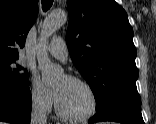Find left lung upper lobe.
Returning <instances> with one entry per match:
<instances>
[{
	"instance_id": "left-lung-upper-lobe-1",
	"label": "left lung upper lobe",
	"mask_w": 156,
	"mask_h": 124,
	"mask_svg": "<svg viewBox=\"0 0 156 124\" xmlns=\"http://www.w3.org/2000/svg\"><path fill=\"white\" fill-rule=\"evenodd\" d=\"M66 43L96 100V112L113 104L141 109L133 29L114 0H68Z\"/></svg>"
}]
</instances>
